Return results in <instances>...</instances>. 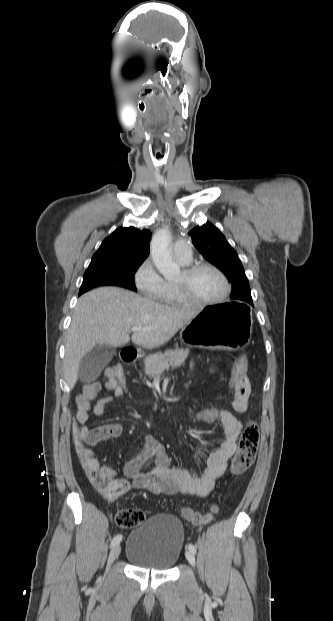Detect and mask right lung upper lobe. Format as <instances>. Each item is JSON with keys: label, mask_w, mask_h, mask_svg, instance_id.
<instances>
[{"label": "right lung upper lobe", "mask_w": 333, "mask_h": 621, "mask_svg": "<svg viewBox=\"0 0 333 621\" xmlns=\"http://www.w3.org/2000/svg\"><path fill=\"white\" fill-rule=\"evenodd\" d=\"M152 233L134 227H119L101 244L91 262L108 260L144 261L150 251Z\"/></svg>", "instance_id": "right-lung-upper-lobe-1"}]
</instances>
